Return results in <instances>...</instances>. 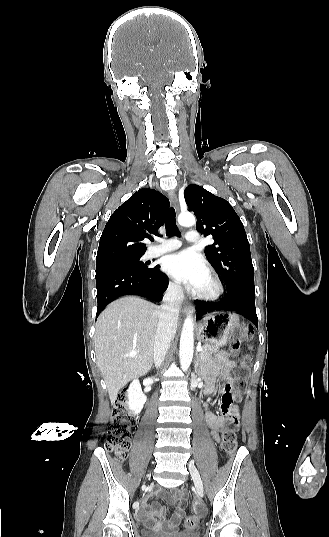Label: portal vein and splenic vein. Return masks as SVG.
Returning <instances> with one entry per match:
<instances>
[{
  "label": "portal vein and splenic vein",
  "instance_id": "1",
  "mask_svg": "<svg viewBox=\"0 0 329 537\" xmlns=\"http://www.w3.org/2000/svg\"><path fill=\"white\" fill-rule=\"evenodd\" d=\"M202 350H203L202 347H199V346L197 347L198 352H201ZM135 355H136V353H134V352L130 354L131 357H135Z\"/></svg>",
  "mask_w": 329,
  "mask_h": 537
}]
</instances>
